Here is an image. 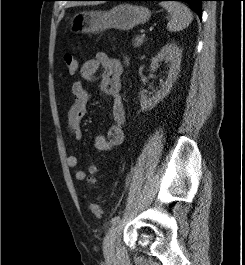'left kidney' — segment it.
I'll return each mask as SVG.
<instances>
[{
  "instance_id": "left-kidney-1",
  "label": "left kidney",
  "mask_w": 245,
  "mask_h": 265,
  "mask_svg": "<svg viewBox=\"0 0 245 265\" xmlns=\"http://www.w3.org/2000/svg\"><path fill=\"white\" fill-rule=\"evenodd\" d=\"M182 58V50L175 43H168L162 47L160 52L152 58L150 69L155 70L159 67L162 61L168 64L169 70L166 81L162 84V87L152 97H148L143 91H140V105L141 110L146 111L153 108L159 101L165 98L176 81L180 72V64Z\"/></svg>"
}]
</instances>
